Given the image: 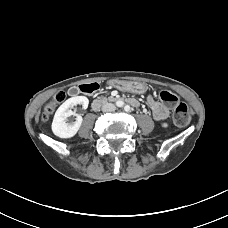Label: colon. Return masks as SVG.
Returning a JSON list of instances; mask_svg holds the SVG:
<instances>
[{
	"mask_svg": "<svg viewBox=\"0 0 228 228\" xmlns=\"http://www.w3.org/2000/svg\"><path fill=\"white\" fill-rule=\"evenodd\" d=\"M65 97V92H58L53 101L45 106L42 113V120H48L53 113L56 104L63 102ZM159 97L165 104L174 107L173 119L177 126H185L190 122L191 111L187 104L180 102L173 93L168 91H161Z\"/></svg>",
	"mask_w": 228,
	"mask_h": 228,
	"instance_id": "1",
	"label": "colon"
}]
</instances>
